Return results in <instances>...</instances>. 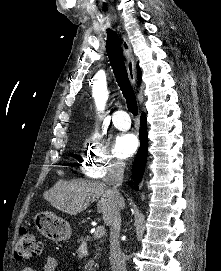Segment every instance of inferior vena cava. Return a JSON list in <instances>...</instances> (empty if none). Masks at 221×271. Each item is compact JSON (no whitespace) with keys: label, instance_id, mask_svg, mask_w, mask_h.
I'll list each match as a JSON object with an SVG mask.
<instances>
[{"label":"inferior vena cava","instance_id":"1","mask_svg":"<svg viewBox=\"0 0 221 271\" xmlns=\"http://www.w3.org/2000/svg\"><path fill=\"white\" fill-rule=\"evenodd\" d=\"M125 163L123 161H117L115 165H112L109 173V177H104L105 191L107 195H110L112 199L118 201L121 197L119 193L118 185H121L123 181ZM121 209L119 205H116L110 225V237H109V253H110V265L112 271H127L125 263V255L122 253L119 237L121 231Z\"/></svg>","mask_w":221,"mask_h":271}]
</instances>
